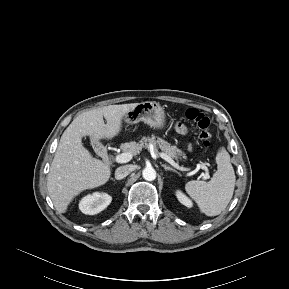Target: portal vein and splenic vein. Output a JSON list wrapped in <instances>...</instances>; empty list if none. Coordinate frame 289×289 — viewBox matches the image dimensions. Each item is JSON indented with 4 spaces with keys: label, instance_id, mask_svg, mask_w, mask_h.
Instances as JSON below:
<instances>
[{
    "label": "portal vein and splenic vein",
    "instance_id": "obj_1",
    "mask_svg": "<svg viewBox=\"0 0 289 289\" xmlns=\"http://www.w3.org/2000/svg\"><path fill=\"white\" fill-rule=\"evenodd\" d=\"M151 154L152 156H155L154 152L151 151ZM159 156L161 158H163L164 160H166L168 163H170L172 166H174L175 168L181 170V171H187L188 169L187 168H184V167H181L179 166L170 156L166 155L165 153H159ZM132 159V154L128 153V152H125V153H122V154H119L115 157V161L117 163H127L129 162L130 160ZM198 168H201L202 170L205 171V173H202V178L204 180H207L210 178L209 176V170L208 168L204 165V164H201L198 166Z\"/></svg>",
    "mask_w": 289,
    "mask_h": 289
}]
</instances>
